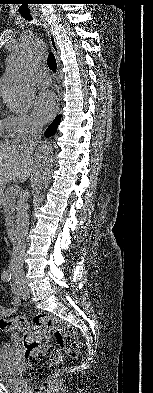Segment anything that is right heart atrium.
Listing matches in <instances>:
<instances>
[{
	"label": "right heart atrium",
	"instance_id": "d8ad5b80",
	"mask_svg": "<svg viewBox=\"0 0 153 393\" xmlns=\"http://www.w3.org/2000/svg\"><path fill=\"white\" fill-rule=\"evenodd\" d=\"M9 134L12 138H23L40 131L41 126L29 113L12 114L7 117Z\"/></svg>",
	"mask_w": 153,
	"mask_h": 393
}]
</instances>
